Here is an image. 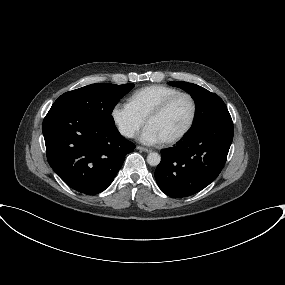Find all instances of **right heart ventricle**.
I'll list each match as a JSON object with an SVG mask.
<instances>
[{
  "mask_svg": "<svg viewBox=\"0 0 285 285\" xmlns=\"http://www.w3.org/2000/svg\"><path fill=\"white\" fill-rule=\"evenodd\" d=\"M180 92L178 89L165 85H149L132 93L129 103L144 119L168 97Z\"/></svg>",
  "mask_w": 285,
  "mask_h": 285,
  "instance_id": "1",
  "label": "right heart ventricle"
}]
</instances>
